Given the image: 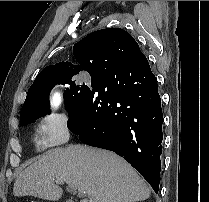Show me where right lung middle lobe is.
<instances>
[{"instance_id":"1","label":"right lung middle lobe","mask_w":209,"mask_h":202,"mask_svg":"<svg viewBox=\"0 0 209 202\" xmlns=\"http://www.w3.org/2000/svg\"><path fill=\"white\" fill-rule=\"evenodd\" d=\"M73 76L74 75H67L49 79L36 95L41 101V104L32 105L29 109L20 113V120L25 122L21 125L24 126L33 123L40 117L50 114L49 93L56 84L67 85L65 87L64 99L66 101L69 119L78 116L84 107L86 99L94 93L96 80L91 79L92 89L90 85L87 84H76L72 81Z\"/></svg>"}]
</instances>
